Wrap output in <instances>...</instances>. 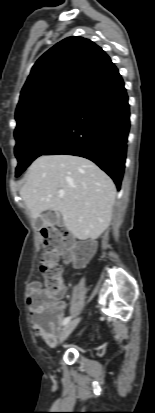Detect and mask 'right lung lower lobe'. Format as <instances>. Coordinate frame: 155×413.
Returning a JSON list of instances; mask_svg holds the SVG:
<instances>
[{"mask_svg":"<svg viewBox=\"0 0 155 413\" xmlns=\"http://www.w3.org/2000/svg\"><path fill=\"white\" fill-rule=\"evenodd\" d=\"M128 96L118 73L76 106L62 134L42 155L88 158L120 189L130 128Z\"/></svg>","mask_w":155,"mask_h":413,"instance_id":"right-lung-lower-lobe-1","label":"right lung lower lobe"}]
</instances>
